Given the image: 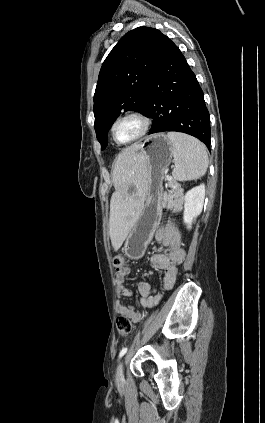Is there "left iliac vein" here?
Segmentation results:
<instances>
[{"mask_svg":"<svg viewBox=\"0 0 265 423\" xmlns=\"http://www.w3.org/2000/svg\"><path fill=\"white\" fill-rule=\"evenodd\" d=\"M122 379H123V364L122 362H120L116 369V380L119 382V381H122Z\"/></svg>","mask_w":265,"mask_h":423,"instance_id":"left-iliac-vein-1","label":"left iliac vein"}]
</instances>
